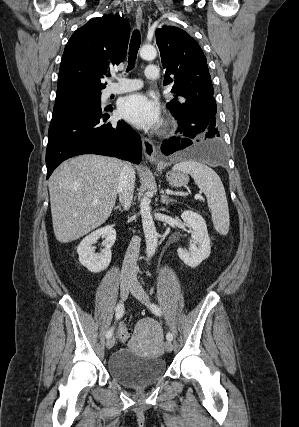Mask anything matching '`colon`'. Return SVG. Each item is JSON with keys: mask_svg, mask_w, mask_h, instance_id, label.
<instances>
[{"mask_svg": "<svg viewBox=\"0 0 299 427\" xmlns=\"http://www.w3.org/2000/svg\"><path fill=\"white\" fill-rule=\"evenodd\" d=\"M119 332H120V334L123 336V338L124 339H128L129 338V336H130V332H129V330L125 327V326H123L122 328H120L119 329Z\"/></svg>", "mask_w": 299, "mask_h": 427, "instance_id": "colon-1", "label": "colon"}]
</instances>
